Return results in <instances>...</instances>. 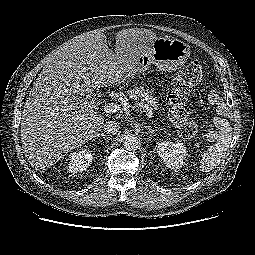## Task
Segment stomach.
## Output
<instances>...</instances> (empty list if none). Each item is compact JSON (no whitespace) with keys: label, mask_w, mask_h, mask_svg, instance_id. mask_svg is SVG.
I'll list each match as a JSON object with an SVG mask.
<instances>
[{"label":"stomach","mask_w":255,"mask_h":255,"mask_svg":"<svg viewBox=\"0 0 255 255\" xmlns=\"http://www.w3.org/2000/svg\"><path fill=\"white\" fill-rule=\"evenodd\" d=\"M189 56L190 47L185 42L157 37L151 44L150 52H144L138 57L137 68L132 76L145 73L152 64L161 71H175L187 62Z\"/></svg>","instance_id":"1"}]
</instances>
